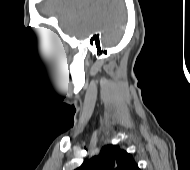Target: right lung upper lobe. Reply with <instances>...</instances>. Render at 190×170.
<instances>
[{"instance_id": "1", "label": "right lung upper lobe", "mask_w": 190, "mask_h": 170, "mask_svg": "<svg viewBox=\"0 0 190 170\" xmlns=\"http://www.w3.org/2000/svg\"><path fill=\"white\" fill-rule=\"evenodd\" d=\"M75 170H140L131 154L117 145H105L97 156L84 161Z\"/></svg>"}]
</instances>
